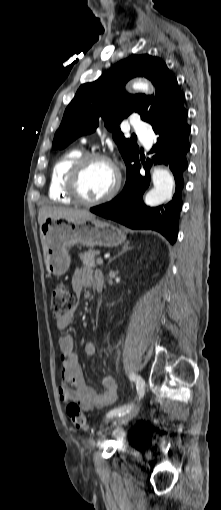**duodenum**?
Instances as JSON below:
<instances>
[{
  "instance_id": "1",
  "label": "duodenum",
  "mask_w": 221,
  "mask_h": 510,
  "mask_svg": "<svg viewBox=\"0 0 221 510\" xmlns=\"http://www.w3.org/2000/svg\"><path fill=\"white\" fill-rule=\"evenodd\" d=\"M104 285V275L102 272H97L95 276V286L97 290H102Z\"/></svg>"
}]
</instances>
